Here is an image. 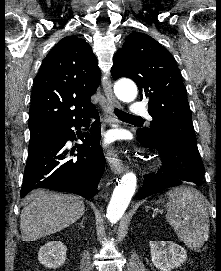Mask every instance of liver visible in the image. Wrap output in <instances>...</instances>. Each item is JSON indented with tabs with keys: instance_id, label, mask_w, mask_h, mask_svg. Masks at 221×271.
Instances as JSON below:
<instances>
[{
	"instance_id": "6515ba94",
	"label": "liver",
	"mask_w": 221,
	"mask_h": 271,
	"mask_svg": "<svg viewBox=\"0 0 221 271\" xmlns=\"http://www.w3.org/2000/svg\"><path fill=\"white\" fill-rule=\"evenodd\" d=\"M20 215L22 241H36L68 227L85 213L81 197L70 193H50L43 187L26 195Z\"/></svg>"
}]
</instances>
